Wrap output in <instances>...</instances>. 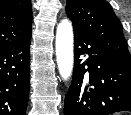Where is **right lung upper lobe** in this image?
<instances>
[{
	"label": "right lung upper lobe",
	"mask_w": 131,
	"mask_h": 115,
	"mask_svg": "<svg viewBox=\"0 0 131 115\" xmlns=\"http://www.w3.org/2000/svg\"><path fill=\"white\" fill-rule=\"evenodd\" d=\"M31 22L30 0H0V49L30 38Z\"/></svg>",
	"instance_id": "right-lung-upper-lobe-1"
}]
</instances>
